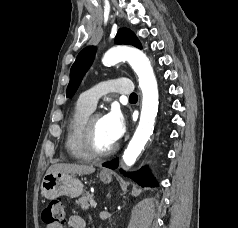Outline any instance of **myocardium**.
I'll return each mask as SVG.
<instances>
[{
    "instance_id": "f54148a6",
    "label": "myocardium",
    "mask_w": 238,
    "mask_h": 228,
    "mask_svg": "<svg viewBox=\"0 0 238 228\" xmlns=\"http://www.w3.org/2000/svg\"><path fill=\"white\" fill-rule=\"evenodd\" d=\"M101 117L99 112L91 113L83 126V134H82V145L84 150L90 155L92 158H104L111 156L118 149V144L115 143L112 147L107 150H99L94 141V122L96 118Z\"/></svg>"
}]
</instances>
